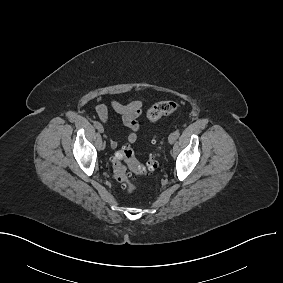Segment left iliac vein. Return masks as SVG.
I'll use <instances>...</instances> for the list:
<instances>
[{
  "label": "left iliac vein",
  "instance_id": "1",
  "mask_svg": "<svg viewBox=\"0 0 283 283\" xmlns=\"http://www.w3.org/2000/svg\"><path fill=\"white\" fill-rule=\"evenodd\" d=\"M176 139H177V137H176V135H175V132H173V133H171V134L169 135V137H168V142H169L170 144H173V143L176 141Z\"/></svg>",
  "mask_w": 283,
  "mask_h": 283
}]
</instances>
